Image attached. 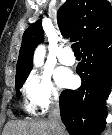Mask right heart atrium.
Here are the masks:
<instances>
[{
    "mask_svg": "<svg viewBox=\"0 0 112 135\" xmlns=\"http://www.w3.org/2000/svg\"><path fill=\"white\" fill-rule=\"evenodd\" d=\"M22 92L26 99V108L33 113L49 109L60 98V92L51 77L36 71L28 76Z\"/></svg>",
    "mask_w": 112,
    "mask_h": 135,
    "instance_id": "obj_1",
    "label": "right heart atrium"
}]
</instances>
